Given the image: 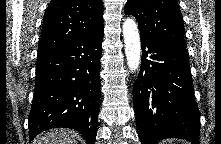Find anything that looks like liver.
Masks as SVG:
<instances>
[{
  "mask_svg": "<svg viewBox=\"0 0 221 144\" xmlns=\"http://www.w3.org/2000/svg\"><path fill=\"white\" fill-rule=\"evenodd\" d=\"M77 133L70 129H54L38 135L33 144H77Z\"/></svg>",
  "mask_w": 221,
  "mask_h": 144,
  "instance_id": "6515ba94",
  "label": "liver"
}]
</instances>
